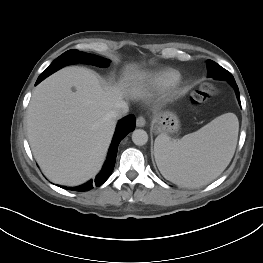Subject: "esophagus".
Wrapping results in <instances>:
<instances>
[{"mask_svg": "<svg viewBox=\"0 0 263 263\" xmlns=\"http://www.w3.org/2000/svg\"><path fill=\"white\" fill-rule=\"evenodd\" d=\"M146 124V120L143 116H139L137 119H136V125L137 127H144Z\"/></svg>", "mask_w": 263, "mask_h": 263, "instance_id": "obj_1", "label": "esophagus"}]
</instances>
